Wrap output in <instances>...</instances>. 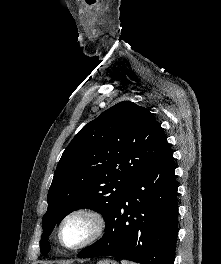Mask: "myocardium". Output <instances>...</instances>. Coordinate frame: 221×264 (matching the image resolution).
Instances as JSON below:
<instances>
[{"mask_svg":"<svg viewBox=\"0 0 221 264\" xmlns=\"http://www.w3.org/2000/svg\"><path fill=\"white\" fill-rule=\"evenodd\" d=\"M75 217H84L88 219L92 223V232L90 236L83 242H81L78 245L75 246H68L63 242L62 239V231L65 226V224L75 218ZM107 227V222L104 217V215L97 209L92 208V207H86V206H81L72 209L69 211L61 220L58 231H57V237L59 243L66 249L68 250H80L83 249L96 241H98L105 233Z\"/></svg>","mask_w":221,"mask_h":264,"instance_id":"myocardium-1","label":"myocardium"}]
</instances>
